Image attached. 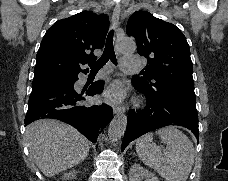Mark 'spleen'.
<instances>
[{
    "label": "spleen",
    "mask_w": 228,
    "mask_h": 181,
    "mask_svg": "<svg viewBox=\"0 0 228 181\" xmlns=\"http://www.w3.org/2000/svg\"><path fill=\"white\" fill-rule=\"evenodd\" d=\"M166 153L153 143V135H143L136 141L137 155L147 167L157 171L165 181H187L194 163L193 143L175 127H164L157 131Z\"/></svg>",
    "instance_id": "3e777b00"
}]
</instances>
